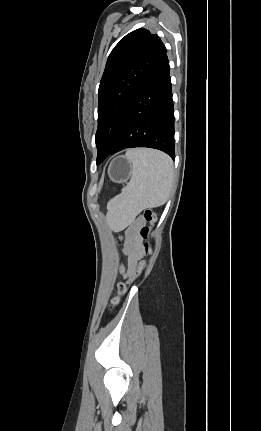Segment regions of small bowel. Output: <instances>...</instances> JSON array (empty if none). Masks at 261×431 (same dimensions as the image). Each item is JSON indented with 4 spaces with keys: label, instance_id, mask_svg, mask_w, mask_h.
<instances>
[{
    "label": "small bowel",
    "instance_id": "small-bowel-1",
    "mask_svg": "<svg viewBox=\"0 0 261 431\" xmlns=\"http://www.w3.org/2000/svg\"><path fill=\"white\" fill-rule=\"evenodd\" d=\"M143 220L141 218L136 219L128 229L129 245L127 252L129 254L127 269H122L124 275H131L135 271V260L140 253V235L139 232L143 227Z\"/></svg>",
    "mask_w": 261,
    "mask_h": 431
}]
</instances>
